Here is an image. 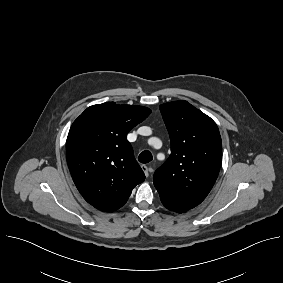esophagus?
Returning a JSON list of instances; mask_svg holds the SVG:
<instances>
[{"label": "esophagus", "mask_w": 283, "mask_h": 283, "mask_svg": "<svg viewBox=\"0 0 283 283\" xmlns=\"http://www.w3.org/2000/svg\"><path fill=\"white\" fill-rule=\"evenodd\" d=\"M141 168H142V170L144 171L145 176L148 177V176H149L150 168H149L147 165H145V164L141 165Z\"/></svg>", "instance_id": "1"}]
</instances>
